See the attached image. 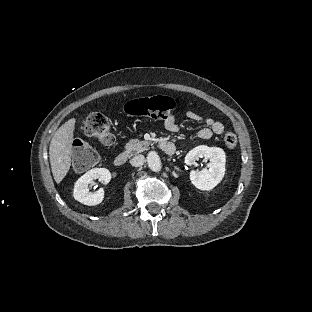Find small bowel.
<instances>
[{"label":"small bowel","mask_w":312,"mask_h":312,"mask_svg":"<svg viewBox=\"0 0 312 312\" xmlns=\"http://www.w3.org/2000/svg\"><path fill=\"white\" fill-rule=\"evenodd\" d=\"M186 117L194 122H203L206 127L199 131V137L207 140L213 134L220 135L224 132V125L222 122L210 117H204L194 111H187ZM164 128L170 133H177L180 131V123L173 114H169L163 121Z\"/></svg>","instance_id":"1"}]
</instances>
